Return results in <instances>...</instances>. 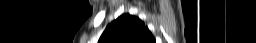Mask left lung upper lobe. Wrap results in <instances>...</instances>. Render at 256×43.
Wrapping results in <instances>:
<instances>
[{
  "label": "left lung upper lobe",
  "mask_w": 256,
  "mask_h": 43,
  "mask_svg": "<svg viewBox=\"0 0 256 43\" xmlns=\"http://www.w3.org/2000/svg\"><path fill=\"white\" fill-rule=\"evenodd\" d=\"M98 43H156L149 29L138 17L123 14L111 22Z\"/></svg>",
  "instance_id": "1"
}]
</instances>
